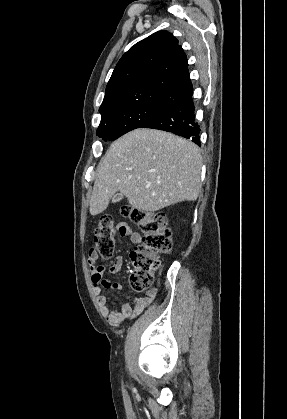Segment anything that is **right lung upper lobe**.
<instances>
[{
  "instance_id": "obj_1",
  "label": "right lung upper lobe",
  "mask_w": 287,
  "mask_h": 419,
  "mask_svg": "<svg viewBox=\"0 0 287 419\" xmlns=\"http://www.w3.org/2000/svg\"><path fill=\"white\" fill-rule=\"evenodd\" d=\"M186 55L168 31L135 44L117 63L100 106L101 114L135 103H163L193 92Z\"/></svg>"
}]
</instances>
